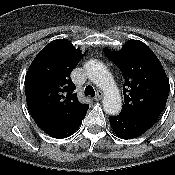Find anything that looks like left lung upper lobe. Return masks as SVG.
Instances as JSON below:
<instances>
[{
    "mask_svg": "<svg viewBox=\"0 0 175 175\" xmlns=\"http://www.w3.org/2000/svg\"><path fill=\"white\" fill-rule=\"evenodd\" d=\"M122 72L124 104L121 112H162L169 96L166 73L153 51L139 40H129L120 51L104 49Z\"/></svg>",
    "mask_w": 175,
    "mask_h": 175,
    "instance_id": "obj_1",
    "label": "left lung upper lobe"
}]
</instances>
